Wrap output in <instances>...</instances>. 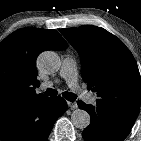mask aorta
<instances>
[{"instance_id": "762f6f07", "label": "aorta", "mask_w": 141, "mask_h": 141, "mask_svg": "<svg viewBox=\"0 0 141 141\" xmlns=\"http://www.w3.org/2000/svg\"><path fill=\"white\" fill-rule=\"evenodd\" d=\"M37 64L40 70L53 74L60 68V58L54 51L42 52L37 58ZM90 115L82 109H76L71 114V121L76 128L86 129L90 124Z\"/></svg>"}]
</instances>
